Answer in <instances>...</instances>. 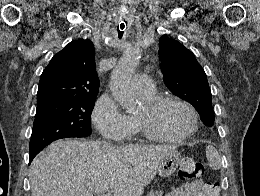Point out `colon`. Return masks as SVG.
I'll list each match as a JSON object with an SVG mask.
<instances>
[{"label": "colon", "mask_w": 260, "mask_h": 196, "mask_svg": "<svg viewBox=\"0 0 260 196\" xmlns=\"http://www.w3.org/2000/svg\"><path fill=\"white\" fill-rule=\"evenodd\" d=\"M179 178L184 182L201 183L204 178L203 165L193 159H184L179 163Z\"/></svg>", "instance_id": "5ec220e1"}]
</instances>
